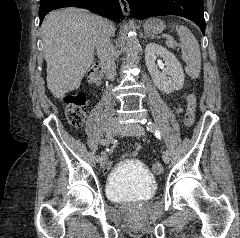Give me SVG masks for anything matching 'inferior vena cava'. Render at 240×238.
<instances>
[{
	"instance_id": "1",
	"label": "inferior vena cava",
	"mask_w": 240,
	"mask_h": 238,
	"mask_svg": "<svg viewBox=\"0 0 240 238\" xmlns=\"http://www.w3.org/2000/svg\"><path fill=\"white\" fill-rule=\"evenodd\" d=\"M95 39V48L100 60V66L108 79L113 80L116 73L115 51L110 41L109 26L100 20Z\"/></svg>"
}]
</instances>
